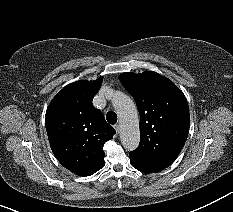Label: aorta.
Returning a JSON list of instances; mask_svg holds the SVG:
<instances>
[{
    "label": "aorta",
    "instance_id": "obj_1",
    "mask_svg": "<svg viewBox=\"0 0 233 212\" xmlns=\"http://www.w3.org/2000/svg\"><path fill=\"white\" fill-rule=\"evenodd\" d=\"M112 103L120 121V139L128 151L135 150L140 141L139 117L136 105L130 97L119 91H112Z\"/></svg>",
    "mask_w": 233,
    "mask_h": 212
}]
</instances>
